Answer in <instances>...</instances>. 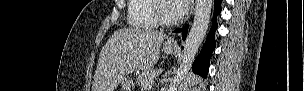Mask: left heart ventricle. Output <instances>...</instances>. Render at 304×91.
Returning a JSON list of instances; mask_svg holds the SVG:
<instances>
[{
  "label": "left heart ventricle",
  "mask_w": 304,
  "mask_h": 91,
  "mask_svg": "<svg viewBox=\"0 0 304 91\" xmlns=\"http://www.w3.org/2000/svg\"><path fill=\"white\" fill-rule=\"evenodd\" d=\"M162 8H163V14L168 18H175L179 16L174 1L164 2L162 4Z\"/></svg>",
  "instance_id": "b2bd125f"
}]
</instances>
